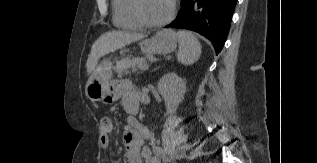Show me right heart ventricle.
<instances>
[{"instance_id":"e07e8e85","label":"right heart ventricle","mask_w":317,"mask_h":163,"mask_svg":"<svg viewBox=\"0 0 317 163\" xmlns=\"http://www.w3.org/2000/svg\"><path fill=\"white\" fill-rule=\"evenodd\" d=\"M131 0H113V22L116 27L126 30L141 29L131 8Z\"/></svg>"}]
</instances>
